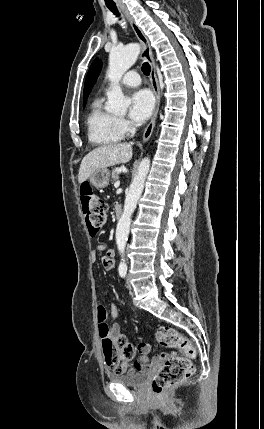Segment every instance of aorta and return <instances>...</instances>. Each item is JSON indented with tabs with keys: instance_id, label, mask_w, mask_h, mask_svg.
<instances>
[{
	"instance_id": "aorta-1",
	"label": "aorta",
	"mask_w": 264,
	"mask_h": 429,
	"mask_svg": "<svg viewBox=\"0 0 264 429\" xmlns=\"http://www.w3.org/2000/svg\"><path fill=\"white\" fill-rule=\"evenodd\" d=\"M140 52V45L131 43L124 47H115L109 55V67L107 76L112 87L107 92V110L113 113H125L130 105V99L126 98L119 86L123 74L135 63ZM150 169V159L144 158L138 166L129 191L126 195L123 213L118 220L116 228V244L121 255L119 268H127L124 253L131 225V217L136 209L138 200L143 192L145 180Z\"/></svg>"
}]
</instances>
